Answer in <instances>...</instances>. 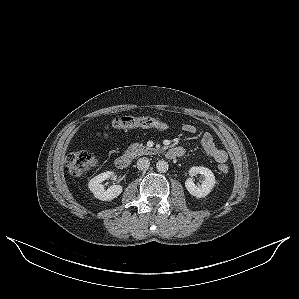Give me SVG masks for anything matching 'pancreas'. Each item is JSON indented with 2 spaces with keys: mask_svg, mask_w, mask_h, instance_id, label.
I'll list each match as a JSON object with an SVG mask.
<instances>
[{
  "mask_svg": "<svg viewBox=\"0 0 299 299\" xmlns=\"http://www.w3.org/2000/svg\"><path fill=\"white\" fill-rule=\"evenodd\" d=\"M154 150L155 149L144 146L143 144L133 143L128 147L127 153L132 157H137L152 154V151Z\"/></svg>",
  "mask_w": 299,
  "mask_h": 299,
  "instance_id": "1",
  "label": "pancreas"
}]
</instances>
